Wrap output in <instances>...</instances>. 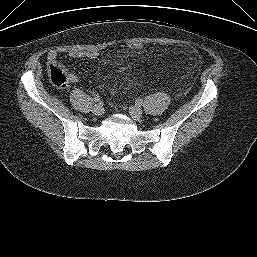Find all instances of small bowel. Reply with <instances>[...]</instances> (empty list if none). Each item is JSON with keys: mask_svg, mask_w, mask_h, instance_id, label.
Here are the masks:
<instances>
[{"mask_svg": "<svg viewBox=\"0 0 257 257\" xmlns=\"http://www.w3.org/2000/svg\"><path fill=\"white\" fill-rule=\"evenodd\" d=\"M61 52L60 50H51L47 54V63L49 65L56 63L57 61V56ZM65 52L68 56L73 57V58H89V59H96L99 56V53L95 50H68V51H63ZM112 64V62H111ZM115 68L118 71H124L126 70L129 66L125 64H119L116 63L114 64ZM69 82L74 83L77 81V77L73 74H69Z\"/></svg>", "mask_w": 257, "mask_h": 257, "instance_id": "small-bowel-1", "label": "small bowel"}]
</instances>
